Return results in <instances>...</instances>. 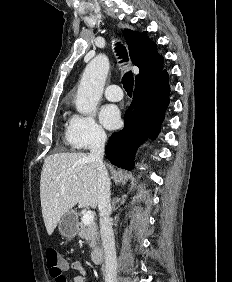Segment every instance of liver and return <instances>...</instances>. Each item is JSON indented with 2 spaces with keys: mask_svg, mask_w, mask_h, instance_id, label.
Returning a JSON list of instances; mask_svg holds the SVG:
<instances>
[{
  "mask_svg": "<svg viewBox=\"0 0 232 282\" xmlns=\"http://www.w3.org/2000/svg\"><path fill=\"white\" fill-rule=\"evenodd\" d=\"M97 196L98 171L85 153H57L44 160L40 199L48 235L75 205L96 208Z\"/></svg>",
  "mask_w": 232,
  "mask_h": 282,
  "instance_id": "1",
  "label": "liver"
}]
</instances>
